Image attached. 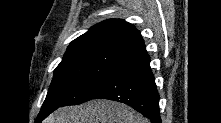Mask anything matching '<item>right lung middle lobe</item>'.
<instances>
[{"instance_id":"obj_1","label":"right lung middle lobe","mask_w":221,"mask_h":123,"mask_svg":"<svg viewBox=\"0 0 221 123\" xmlns=\"http://www.w3.org/2000/svg\"><path fill=\"white\" fill-rule=\"evenodd\" d=\"M130 57L102 49L81 50L63 57L38 117L58 107L77 105L90 99L95 86Z\"/></svg>"}]
</instances>
